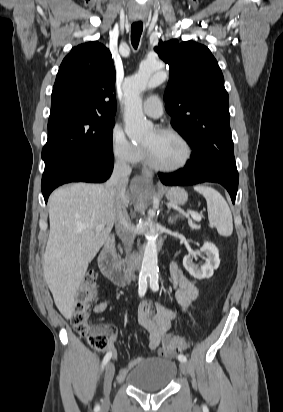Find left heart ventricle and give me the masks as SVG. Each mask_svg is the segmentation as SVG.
<instances>
[{"instance_id":"b2bd125f","label":"left heart ventricle","mask_w":283,"mask_h":412,"mask_svg":"<svg viewBox=\"0 0 283 412\" xmlns=\"http://www.w3.org/2000/svg\"><path fill=\"white\" fill-rule=\"evenodd\" d=\"M152 159L161 166L171 167L182 162L185 156L183 144L173 135L152 131L144 140Z\"/></svg>"}]
</instances>
